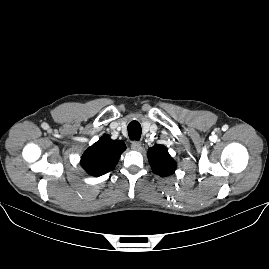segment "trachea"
Returning a JSON list of instances; mask_svg holds the SVG:
<instances>
[{
    "label": "trachea",
    "mask_w": 269,
    "mask_h": 269,
    "mask_svg": "<svg viewBox=\"0 0 269 269\" xmlns=\"http://www.w3.org/2000/svg\"><path fill=\"white\" fill-rule=\"evenodd\" d=\"M141 125L137 121H131L128 124V135L131 140H139L141 137Z\"/></svg>",
    "instance_id": "1"
}]
</instances>
